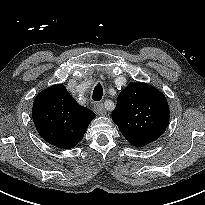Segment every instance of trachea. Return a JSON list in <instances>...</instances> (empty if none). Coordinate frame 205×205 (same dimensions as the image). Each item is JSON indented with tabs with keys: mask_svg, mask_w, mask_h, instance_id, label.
Listing matches in <instances>:
<instances>
[{
	"mask_svg": "<svg viewBox=\"0 0 205 205\" xmlns=\"http://www.w3.org/2000/svg\"><path fill=\"white\" fill-rule=\"evenodd\" d=\"M103 96V88L101 84H97V86L93 90L92 99L94 101H100Z\"/></svg>",
	"mask_w": 205,
	"mask_h": 205,
	"instance_id": "3493384b",
	"label": "trachea"
}]
</instances>
